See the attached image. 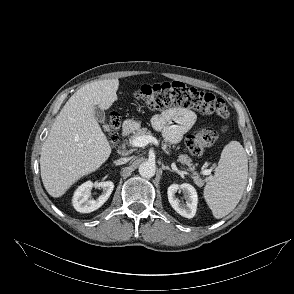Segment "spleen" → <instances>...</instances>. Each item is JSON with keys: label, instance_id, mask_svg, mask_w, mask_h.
I'll return each instance as SVG.
<instances>
[{"label": "spleen", "instance_id": "3e777b00", "mask_svg": "<svg viewBox=\"0 0 294 294\" xmlns=\"http://www.w3.org/2000/svg\"><path fill=\"white\" fill-rule=\"evenodd\" d=\"M248 175L247 154L237 141L227 144L214 177L204 187V198L215 218L235 209L244 192Z\"/></svg>", "mask_w": 294, "mask_h": 294}]
</instances>
